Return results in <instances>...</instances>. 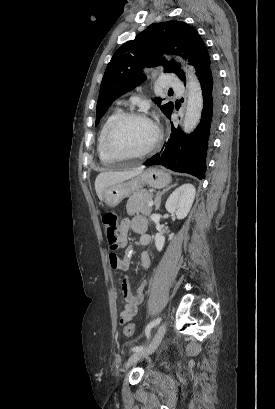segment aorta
Returning a JSON list of instances; mask_svg holds the SVG:
<instances>
[{
  "mask_svg": "<svg viewBox=\"0 0 275 409\" xmlns=\"http://www.w3.org/2000/svg\"><path fill=\"white\" fill-rule=\"evenodd\" d=\"M187 74L188 102L184 116L183 130L192 132L196 128L203 108V96L200 82L193 66L185 68Z\"/></svg>",
  "mask_w": 275,
  "mask_h": 409,
  "instance_id": "aorta-1",
  "label": "aorta"
}]
</instances>
